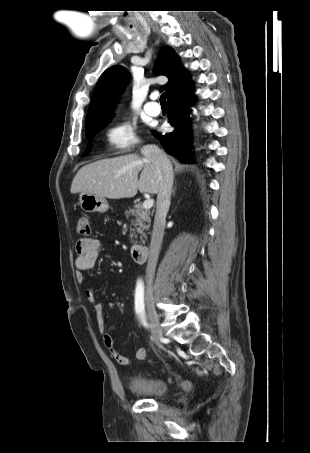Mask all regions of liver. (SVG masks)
<instances>
[{"label":"liver","mask_w":310,"mask_h":453,"mask_svg":"<svg viewBox=\"0 0 310 453\" xmlns=\"http://www.w3.org/2000/svg\"><path fill=\"white\" fill-rule=\"evenodd\" d=\"M159 176V171L151 161L137 154H129L83 166L75 175L70 192L89 193L109 199L132 198L138 190L157 194Z\"/></svg>","instance_id":"liver-1"}]
</instances>
